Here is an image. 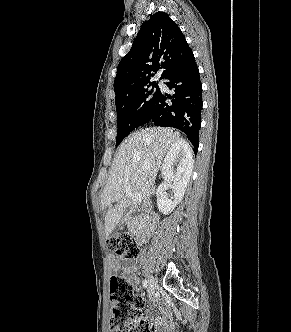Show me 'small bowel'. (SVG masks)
I'll return each instance as SVG.
<instances>
[{"instance_id": "small-bowel-1", "label": "small bowel", "mask_w": 291, "mask_h": 332, "mask_svg": "<svg viewBox=\"0 0 291 332\" xmlns=\"http://www.w3.org/2000/svg\"><path fill=\"white\" fill-rule=\"evenodd\" d=\"M110 262H111L112 268L114 270H121V271H123V273L130 276V278L133 277L134 267L132 265L127 264L126 262L121 261L120 259H117V258L112 257V256L110 257ZM154 321L158 325L165 326V323L162 321L161 317H159V316H156L154 318Z\"/></svg>"}]
</instances>
